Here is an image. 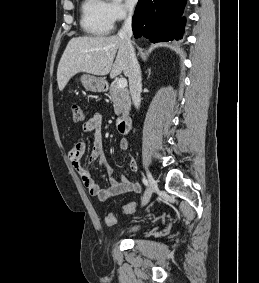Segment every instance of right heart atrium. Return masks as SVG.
<instances>
[{"label": "right heart atrium", "mask_w": 259, "mask_h": 283, "mask_svg": "<svg viewBox=\"0 0 259 283\" xmlns=\"http://www.w3.org/2000/svg\"><path fill=\"white\" fill-rule=\"evenodd\" d=\"M107 5H108L109 14L113 22L122 21L133 13V7L127 3L114 0L108 2Z\"/></svg>", "instance_id": "d8ad5b80"}]
</instances>
